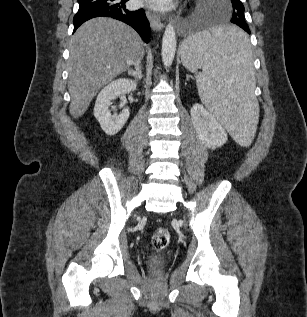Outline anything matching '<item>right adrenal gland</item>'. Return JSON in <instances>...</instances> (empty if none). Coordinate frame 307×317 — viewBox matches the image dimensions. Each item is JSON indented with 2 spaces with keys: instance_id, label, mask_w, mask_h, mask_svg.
I'll use <instances>...</instances> for the list:
<instances>
[{
  "instance_id": "2a0ac1e0",
  "label": "right adrenal gland",
  "mask_w": 307,
  "mask_h": 317,
  "mask_svg": "<svg viewBox=\"0 0 307 317\" xmlns=\"http://www.w3.org/2000/svg\"><path fill=\"white\" fill-rule=\"evenodd\" d=\"M140 60L141 59L135 61V69L128 68V75L132 76L136 82L142 79V66Z\"/></svg>"
}]
</instances>
